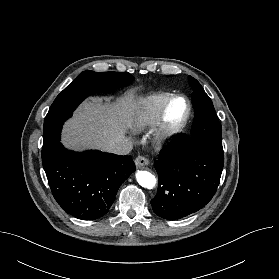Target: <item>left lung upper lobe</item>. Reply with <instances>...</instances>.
<instances>
[{"label": "left lung upper lobe", "instance_id": "obj_1", "mask_svg": "<svg viewBox=\"0 0 279 279\" xmlns=\"http://www.w3.org/2000/svg\"><path fill=\"white\" fill-rule=\"evenodd\" d=\"M189 80L194 89L192 98L195 118L188 138L223 152L222 127L216 116L212 101L195 78L190 76Z\"/></svg>", "mask_w": 279, "mask_h": 279}]
</instances>
